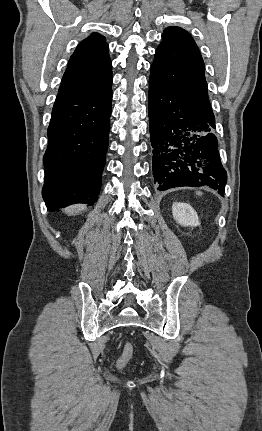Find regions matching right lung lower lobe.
<instances>
[{
	"label": "right lung lower lobe",
	"mask_w": 262,
	"mask_h": 431,
	"mask_svg": "<svg viewBox=\"0 0 262 431\" xmlns=\"http://www.w3.org/2000/svg\"><path fill=\"white\" fill-rule=\"evenodd\" d=\"M111 100V88L100 94L57 95L43 157L42 195L49 211L97 201L108 148Z\"/></svg>",
	"instance_id": "1"
}]
</instances>
